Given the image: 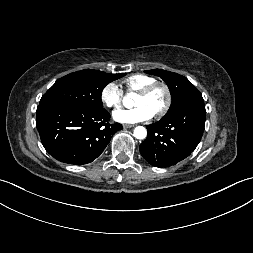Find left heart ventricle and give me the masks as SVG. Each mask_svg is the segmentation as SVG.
<instances>
[{
	"instance_id": "1",
	"label": "left heart ventricle",
	"mask_w": 253,
	"mask_h": 253,
	"mask_svg": "<svg viewBox=\"0 0 253 253\" xmlns=\"http://www.w3.org/2000/svg\"><path fill=\"white\" fill-rule=\"evenodd\" d=\"M165 102V93L162 89L155 90L150 96L144 97L139 94L136 95L134 104H143L147 106L153 114L157 112Z\"/></svg>"
}]
</instances>
